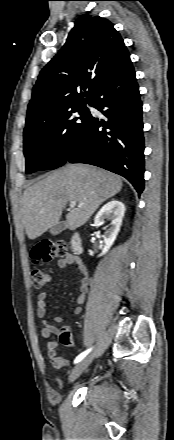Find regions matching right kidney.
I'll return each instance as SVG.
<instances>
[{
  "instance_id": "1",
  "label": "right kidney",
  "mask_w": 174,
  "mask_h": 440,
  "mask_svg": "<svg viewBox=\"0 0 174 440\" xmlns=\"http://www.w3.org/2000/svg\"><path fill=\"white\" fill-rule=\"evenodd\" d=\"M125 214V206L122 202L112 200L106 203L100 211L97 213L94 219V226L99 227L104 219L111 222L109 231L105 232L104 236V248L100 256L106 254L110 247L113 245L122 224V219Z\"/></svg>"
}]
</instances>
